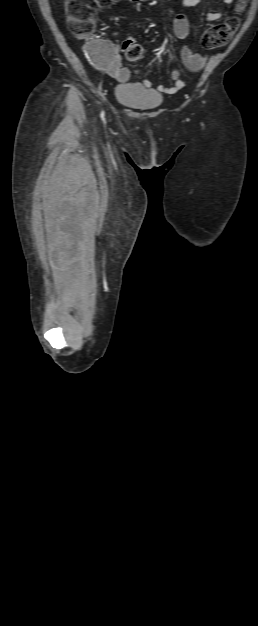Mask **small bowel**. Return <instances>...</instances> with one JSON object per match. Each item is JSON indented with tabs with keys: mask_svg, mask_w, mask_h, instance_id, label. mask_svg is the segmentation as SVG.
I'll list each match as a JSON object with an SVG mask.
<instances>
[{
	"mask_svg": "<svg viewBox=\"0 0 258 626\" xmlns=\"http://www.w3.org/2000/svg\"><path fill=\"white\" fill-rule=\"evenodd\" d=\"M234 0H223L226 5H231ZM201 0H182L183 7H193L198 5ZM169 15L173 19V30L177 38L185 39L189 34V22L188 19L182 15L177 14L171 7L167 8ZM222 13L211 11L206 15L207 20L217 21L221 19ZM102 54L98 60L100 68L109 76L117 80L118 82L125 84L129 81L130 71L122 66L121 56L114 50V46L110 41H102L100 43ZM182 61L185 67L193 72L199 71L206 62V56L191 52L188 48H184L182 51ZM172 78L174 83L171 87H165L159 85L157 90L161 93L174 94L184 87V82L179 79V72L177 70L172 71ZM143 85L146 88H151L152 83L148 78L143 80Z\"/></svg>",
	"mask_w": 258,
	"mask_h": 626,
	"instance_id": "c3829d8e",
	"label": "small bowel"
}]
</instances>
